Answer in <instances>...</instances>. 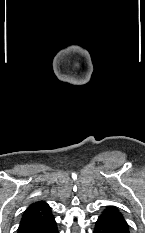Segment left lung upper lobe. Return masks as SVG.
Segmentation results:
<instances>
[{"label": "left lung upper lobe", "mask_w": 145, "mask_h": 233, "mask_svg": "<svg viewBox=\"0 0 145 233\" xmlns=\"http://www.w3.org/2000/svg\"><path fill=\"white\" fill-rule=\"evenodd\" d=\"M98 220L108 224L111 228L120 233H129V225L122 213L114 206H108L99 216Z\"/></svg>", "instance_id": "5c2ea615"}]
</instances>
